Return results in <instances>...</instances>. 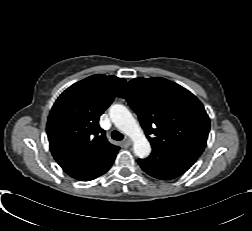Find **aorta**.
Returning <instances> with one entry per match:
<instances>
[{
  "label": "aorta",
  "mask_w": 252,
  "mask_h": 231,
  "mask_svg": "<svg viewBox=\"0 0 252 231\" xmlns=\"http://www.w3.org/2000/svg\"><path fill=\"white\" fill-rule=\"evenodd\" d=\"M109 115L114 125L133 141V150L139 158H146L151 153V145L143 130L130 111L121 104L112 105Z\"/></svg>",
  "instance_id": "762f6f07"
}]
</instances>
